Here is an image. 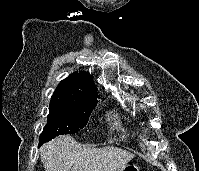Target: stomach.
I'll list each match as a JSON object with an SVG mask.
<instances>
[{
	"label": "stomach",
	"instance_id": "stomach-1",
	"mask_svg": "<svg viewBox=\"0 0 199 171\" xmlns=\"http://www.w3.org/2000/svg\"><path fill=\"white\" fill-rule=\"evenodd\" d=\"M120 171H140L136 164H126Z\"/></svg>",
	"mask_w": 199,
	"mask_h": 171
}]
</instances>
